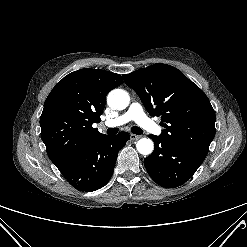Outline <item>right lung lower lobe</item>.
<instances>
[{
  "label": "right lung lower lobe",
  "mask_w": 247,
  "mask_h": 247,
  "mask_svg": "<svg viewBox=\"0 0 247 247\" xmlns=\"http://www.w3.org/2000/svg\"><path fill=\"white\" fill-rule=\"evenodd\" d=\"M129 139L127 132L104 135L84 148L60 172L74 188L80 191L98 190L110 180L118 152Z\"/></svg>",
  "instance_id": "right-lung-lower-lobe-1"
}]
</instances>
